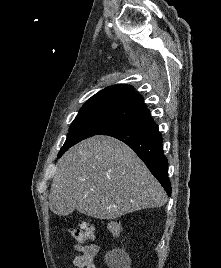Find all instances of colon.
<instances>
[{
  "mask_svg": "<svg viewBox=\"0 0 221 268\" xmlns=\"http://www.w3.org/2000/svg\"><path fill=\"white\" fill-rule=\"evenodd\" d=\"M110 232L118 236L122 231L121 223L118 221H110L108 224ZM70 234L79 243H87L94 239L95 237V227L93 224L88 222H83L77 227L70 229Z\"/></svg>",
  "mask_w": 221,
  "mask_h": 268,
  "instance_id": "5ec220e1",
  "label": "colon"
}]
</instances>
